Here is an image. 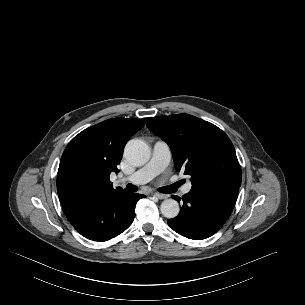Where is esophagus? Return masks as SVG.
<instances>
[{"instance_id":"1","label":"esophagus","mask_w":305,"mask_h":305,"mask_svg":"<svg viewBox=\"0 0 305 305\" xmlns=\"http://www.w3.org/2000/svg\"><path fill=\"white\" fill-rule=\"evenodd\" d=\"M155 197H157L158 199H166L168 196L165 194H161V193H154L153 194Z\"/></svg>"}]
</instances>
